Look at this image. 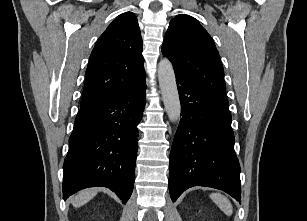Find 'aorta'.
<instances>
[{
    "label": "aorta",
    "mask_w": 307,
    "mask_h": 221,
    "mask_svg": "<svg viewBox=\"0 0 307 221\" xmlns=\"http://www.w3.org/2000/svg\"><path fill=\"white\" fill-rule=\"evenodd\" d=\"M158 80L166 113L171 122L180 119L181 103L171 62L163 58L158 64Z\"/></svg>",
    "instance_id": "obj_1"
}]
</instances>
